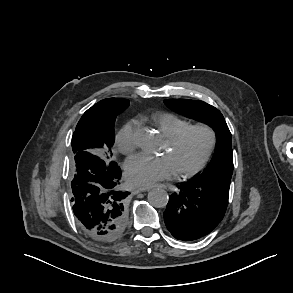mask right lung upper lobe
<instances>
[{
  "mask_svg": "<svg viewBox=\"0 0 293 293\" xmlns=\"http://www.w3.org/2000/svg\"><path fill=\"white\" fill-rule=\"evenodd\" d=\"M108 99H110V98H108ZM108 99L101 100L100 102H98L97 104H95L94 106H92L91 108H94L95 106H97V105H99V104H101V103L107 101ZM88 152H91V153L95 154L93 151H88ZM76 154H77V153H76Z\"/></svg>",
  "mask_w": 293,
  "mask_h": 293,
  "instance_id": "right-lung-upper-lobe-1",
  "label": "right lung upper lobe"
}]
</instances>
